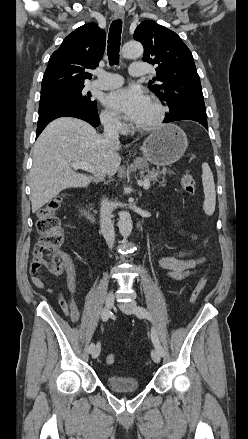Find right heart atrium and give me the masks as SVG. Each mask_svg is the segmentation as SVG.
Returning a JSON list of instances; mask_svg holds the SVG:
<instances>
[{
  "mask_svg": "<svg viewBox=\"0 0 248 439\" xmlns=\"http://www.w3.org/2000/svg\"><path fill=\"white\" fill-rule=\"evenodd\" d=\"M100 120L103 126L111 131L122 132L125 129L120 117L110 110H103L100 114Z\"/></svg>",
  "mask_w": 248,
  "mask_h": 439,
  "instance_id": "1",
  "label": "right heart atrium"
}]
</instances>
